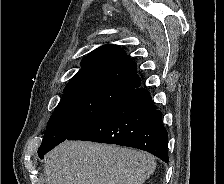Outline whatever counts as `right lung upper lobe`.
Here are the masks:
<instances>
[{
	"label": "right lung upper lobe",
	"instance_id": "right-lung-upper-lobe-1",
	"mask_svg": "<svg viewBox=\"0 0 224 184\" xmlns=\"http://www.w3.org/2000/svg\"><path fill=\"white\" fill-rule=\"evenodd\" d=\"M81 66L64 91L90 82L114 83L131 89L141 85L136 63L117 45L100 46L83 58Z\"/></svg>",
	"mask_w": 224,
	"mask_h": 184
}]
</instances>
